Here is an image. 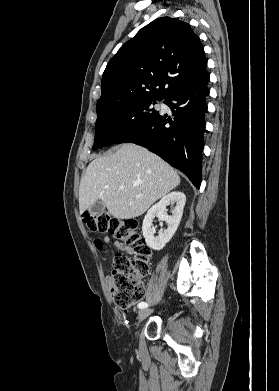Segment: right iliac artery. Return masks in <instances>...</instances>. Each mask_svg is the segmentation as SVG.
Masks as SVG:
<instances>
[{"label":"right iliac artery","mask_w":279,"mask_h":391,"mask_svg":"<svg viewBox=\"0 0 279 391\" xmlns=\"http://www.w3.org/2000/svg\"><path fill=\"white\" fill-rule=\"evenodd\" d=\"M138 307H139L140 309H144V308H147V307H148V304H147L146 302H141V303L138 304Z\"/></svg>","instance_id":"obj_1"}]
</instances>
